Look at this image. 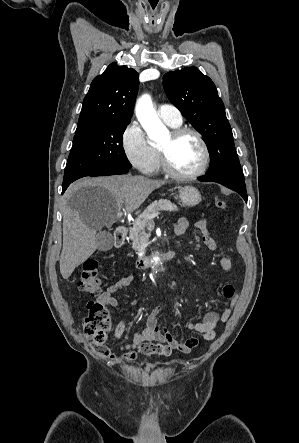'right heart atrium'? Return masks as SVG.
<instances>
[{
  "instance_id": "right-heart-atrium-1",
  "label": "right heart atrium",
  "mask_w": 299,
  "mask_h": 443,
  "mask_svg": "<svg viewBox=\"0 0 299 443\" xmlns=\"http://www.w3.org/2000/svg\"><path fill=\"white\" fill-rule=\"evenodd\" d=\"M121 146L126 158L135 168L143 173L153 170L154 152L137 121L130 122L123 130Z\"/></svg>"
}]
</instances>
